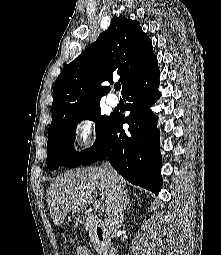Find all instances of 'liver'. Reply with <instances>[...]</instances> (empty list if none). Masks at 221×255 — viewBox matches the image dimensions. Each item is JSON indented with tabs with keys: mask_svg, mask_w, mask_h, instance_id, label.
<instances>
[{
	"mask_svg": "<svg viewBox=\"0 0 221 255\" xmlns=\"http://www.w3.org/2000/svg\"><path fill=\"white\" fill-rule=\"evenodd\" d=\"M126 180L113 170V178L109 179L103 167L89 166L64 172L55 178L47 190V202L51 218L56 226H60L70 212L83 211L92 199L93 194L101 197L103 209H107L116 187L122 190Z\"/></svg>",
	"mask_w": 221,
	"mask_h": 255,
	"instance_id": "liver-1",
	"label": "liver"
}]
</instances>
